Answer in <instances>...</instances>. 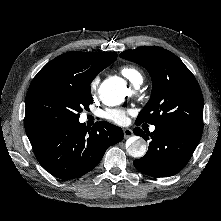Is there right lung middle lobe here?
Here are the masks:
<instances>
[{"mask_svg":"<svg viewBox=\"0 0 221 221\" xmlns=\"http://www.w3.org/2000/svg\"><path fill=\"white\" fill-rule=\"evenodd\" d=\"M90 83L44 78L30 85L25 125L78 121L79 113L93 102Z\"/></svg>","mask_w":221,"mask_h":221,"instance_id":"dd1d6c3e","label":"right lung middle lobe"}]
</instances>
